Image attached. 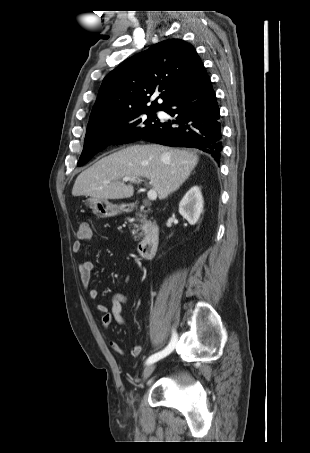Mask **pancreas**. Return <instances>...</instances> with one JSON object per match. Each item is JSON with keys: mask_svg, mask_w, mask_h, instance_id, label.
<instances>
[{"mask_svg": "<svg viewBox=\"0 0 310 453\" xmlns=\"http://www.w3.org/2000/svg\"><path fill=\"white\" fill-rule=\"evenodd\" d=\"M141 222H142L143 224L140 225V226L135 225V229H134L133 232H132L133 235H134L135 240H138V239L142 236L143 232L146 230V228H147V226H148L147 221H143V220H142ZM140 230H141L142 232L139 233Z\"/></svg>", "mask_w": 310, "mask_h": 453, "instance_id": "1", "label": "pancreas"}]
</instances>
